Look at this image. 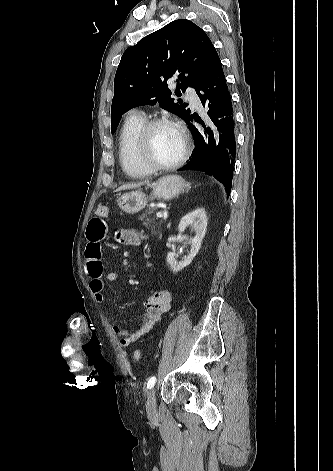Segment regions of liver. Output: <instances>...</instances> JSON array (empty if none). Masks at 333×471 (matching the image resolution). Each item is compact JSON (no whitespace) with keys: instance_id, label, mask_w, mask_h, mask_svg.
<instances>
[{"instance_id":"obj_1","label":"liver","mask_w":333,"mask_h":471,"mask_svg":"<svg viewBox=\"0 0 333 471\" xmlns=\"http://www.w3.org/2000/svg\"><path fill=\"white\" fill-rule=\"evenodd\" d=\"M144 183H132V184H125L121 187L118 188L119 191L121 190H127V189H135L137 187H140L141 185H143Z\"/></svg>"}]
</instances>
